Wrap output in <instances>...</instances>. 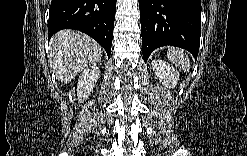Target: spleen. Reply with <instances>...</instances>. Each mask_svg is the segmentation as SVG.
I'll use <instances>...</instances> for the list:
<instances>
[{"label":"spleen","instance_id":"spleen-1","mask_svg":"<svg viewBox=\"0 0 247 156\" xmlns=\"http://www.w3.org/2000/svg\"><path fill=\"white\" fill-rule=\"evenodd\" d=\"M167 56L170 61L182 68L184 71L190 70V60L184 54L182 49L170 47L167 50Z\"/></svg>","mask_w":247,"mask_h":156}]
</instances>
